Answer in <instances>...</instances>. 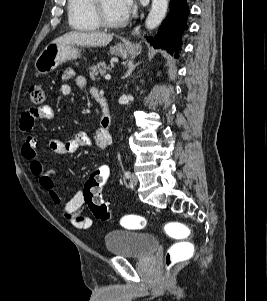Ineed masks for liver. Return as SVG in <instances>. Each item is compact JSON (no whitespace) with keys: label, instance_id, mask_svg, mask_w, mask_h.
Returning a JSON list of instances; mask_svg holds the SVG:
<instances>
[{"label":"liver","instance_id":"6515ba94","mask_svg":"<svg viewBox=\"0 0 267 301\" xmlns=\"http://www.w3.org/2000/svg\"><path fill=\"white\" fill-rule=\"evenodd\" d=\"M113 39V35L101 32H78L71 31L53 41L57 44H73L81 46H106Z\"/></svg>","mask_w":267,"mask_h":301}]
</instances>
